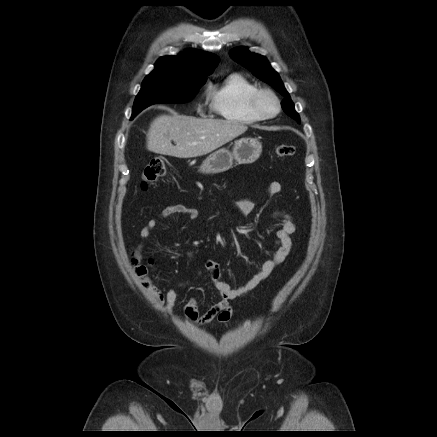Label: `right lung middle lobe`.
<instances>
[{
    "instance_id": "right-lung-middle-lobe-1",
    "label": "right lung middle lobe",
    "mask_w": 437,
    "mask_h": 437,
    "mask_svg": "<svg viewBox=\"0 0 437 437\" xmlns=\"http://www.w3.org/2000/svg\"><path fill=\"white\" fill-rule=\"evenodd\" d=\"M205 81H185L168 74H149L135 99L132 118L152 104L186 103L192 100Z\"/></svg>"
}]
</instances>
